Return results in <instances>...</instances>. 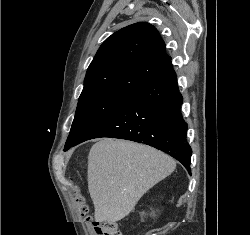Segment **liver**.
Returning <instances> with one entry per match:
<instances>
[{
	"instance_id": "obj_1",
	"label": "liver",
	"mask_w": 250,
	"mask_h": 235,
	"mask_svg": "<svg viewBox=\"0 0 250 235\" xmlns=\"http://www.w3.org/2000/svg\"><path fill=\"white\" fill-rule=\"evenodd\" d=\"M176 167L170 156L150 146L105 138L88 156V189L97 222L126 217L139 199Z\"/></svg>"
}]
</instances>
